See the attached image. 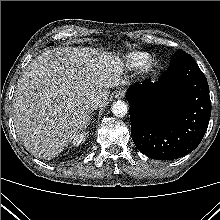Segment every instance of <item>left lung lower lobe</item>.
Wrapping results in <instances>:
<instances>
[{
  "label": "left lung lower lobe",
  "instance_id": "left-lung-lower-lobe-1",
  "mask_svg": "<svg viewBox=\"0 0 220 220\" xmlns=\"http://www.w3.org/2000/svg\"><path fill=\"white\" fill-rule=\"evenodd\" d=\"M131 136L137 149L156 160L192 152L211 115L209 86L194 59L182 50L156 83H135L127 93Z\"/></svg>",
  "mask_w": 220,
  "mask_h": 220
}]
</instances>
